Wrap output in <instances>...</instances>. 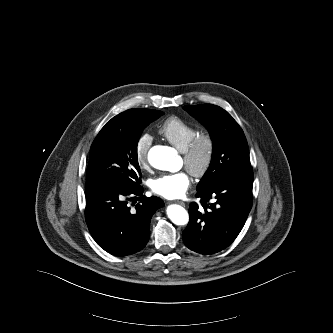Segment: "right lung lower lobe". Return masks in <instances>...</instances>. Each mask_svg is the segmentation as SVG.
Masks as SVG:
<instances>
[{"label": "right lung lower lobe", "instance_id": "98d812e1", "mask_svg": "<svg viewBox=\"0 0 333 333\" xmlns=\"http://www.w3.org/2000/svg\"><path fill=\"white\" fill-rule=\"evenodd\" d=\"M140 185L121 186L86 183L85 218L94 240L117 256L134 254L144 248L150 236V220L164 206L162 199L142 196ZM138 197L131 209L127 200Z\"/></svg>", "mask_w": 333, "mask_h": 333}]
</instances>
